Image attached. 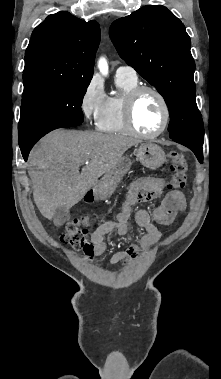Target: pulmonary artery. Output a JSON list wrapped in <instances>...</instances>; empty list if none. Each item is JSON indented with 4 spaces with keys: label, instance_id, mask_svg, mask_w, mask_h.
I'll return each mask as SVG.
<instances>
[{
    "label": "pulmonary artery",
    "instance_id": "1",
    "mask_svg": "<svg viewBox=\"0 0 221 379\" xmlns=\"http://www.w3.org/2000/svg\"><path fill=\"white\" fill-rule=\"evenodd\" d=\"M116 77L137 80V73L135 69L130 66H120L116 70Z\"/></svg>",
    "mask_w": 221,
    "mask_h": 379
}]
</instances>
